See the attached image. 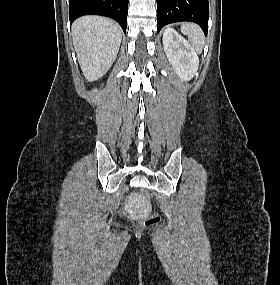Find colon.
<instances>
[{
  "label": "colon",
  "mask_w": 280,
  "mask_h": 285,
  "mask_svg": "<svg viewBox=\"0 0 280 285\" xmlns=\"http://www.w3.org/2000/svg\"><path fill=\"white\" fill-rule=\"evenodd\" d=\"M140 196L142 198V200L146 203V204H150L151 203V195L147 190H141L140 192ZM161 219L159 216L155 215V214H150L146 217V219L144 220L143 225L145 227H152V226H156L160 223Z\"/></svg>",
  "instance_id": "5ec220e1"
}]
</instances>
